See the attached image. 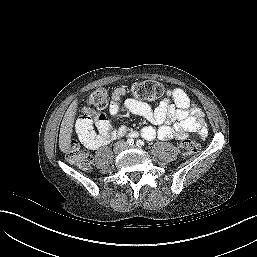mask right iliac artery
Instances as JSON below:
<instances>
[{"label": "right iliac artery", "mask_w": 257, "mask_h": 257, "mask_svg": "<svg viewBox=\"0 0 257 257\" xmlns=\"http://www.w3.org/2000/svg\"><path fill=\"white\" fill-rule=\"evenodd\" d=\"M127 144H128L129 146H132V145L134 144V140H133V139H128V140H127Z\"/></svg>", "instance_id": "1"}]
</instances>
